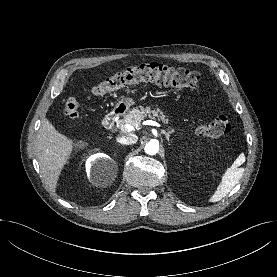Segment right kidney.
Listing matches in <instances>:
<instances>
[{
	"instance_id": "obj_1",
	"label": "right kidney",
	"mask_w": 277,
	"mask_h": 277,
	"mask_svg": "<svg viewBox=\"0 0 277 277\" xmlns=\"http://www.w3.org/2000/svg\"><path fill=\"white\" fill-rule=\"evenodd\" d=\"M110 159L108 156H106L105 154H96V155H93L92 157H90L87 161V164H86V168H87V171H88V175L90 176V173L92 174L93 172V169H94V166L98 165V164H104V163H107L109 162ZM95 180L98 184H101V177L100 175H97L95 177Z\"/></svg>"
}]
</instances>
